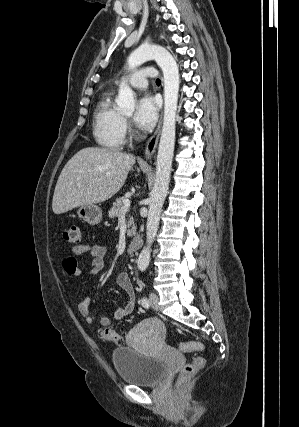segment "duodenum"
Wrapping results in <instances>:
<instances>
[{"mask_svg": "<svg viewBox=\"0 0 299 427\" xmlns=\"http://www.w3.org/2000/svg\"><path fill=\"white\" fill-rule=\"evenodd\" d=\"M141 242H142V240H141L140 235L136 234L130 243V246L127 250V253L130 255L136 253L139 250Z\"/></svg>", "mask_w": 299, "mask_h": 427, "instance_id": "410a0bca", "label": "duodenum"}]
</instances>
